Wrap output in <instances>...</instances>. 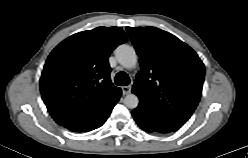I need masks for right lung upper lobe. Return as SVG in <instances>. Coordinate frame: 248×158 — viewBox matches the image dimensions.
Instances as JSON below:
<instances>
[{"instance_id": "obj_1", "label": "right lung upper lobe", "mask_w": 248, "mask_h": 158, "mask_svg": "<svg viewBox=\"0 0 248 158\" xmlns=\"http://www.w3.org/2000/svg\"><path fill=\"white\" fill-rule=\"evenodd\" d=\"M126 41L120 27H97L68 37L50 53L40 90L59 125L70 126L97 115L121 91L111 83L108 57Z\"/></svg>"}]
</instances>
